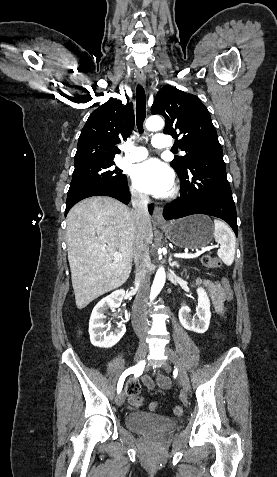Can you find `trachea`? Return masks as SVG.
Masks as SVG:
<instances>
[{"mask_svg":"<svg viewBox=\"0 0 277 477\" xmlns=\"http://www.w3.org/2000/svg\"><path fill=\"white\" fill-rule=\"evenodd\" d=\"M146 117V96L141 85L136 88V122L140 133L143 132V122Z\"/></svg>","mask_w":277,"mask_h":477,"instance_id":"obj_1","label":"trachea"}]
</instances>
